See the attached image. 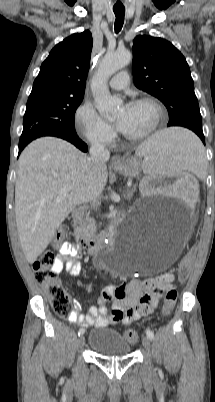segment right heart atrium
<instances>
[{"instance_id": "1", "label": "right heart atrium", "mask_w": 215, "mask_h": 402, "mask_svg": "<svg viewBox=\"0 0 215 402\" xmlns=\"http://www.w3.org/2000/svg\"><path fill=\"white\" fill-rule=\"evenodd\" d=\"M75 122L78 132L92 144L106 146L114 140L113 128L90 103L85 102L78 107Z\"/></svg>"}]
</instances>
